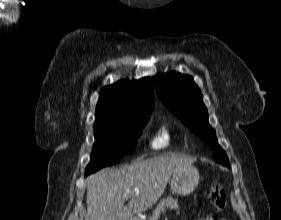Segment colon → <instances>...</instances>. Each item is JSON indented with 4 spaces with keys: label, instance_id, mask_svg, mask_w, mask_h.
Listing matches in <instances>:
<instances>
[{
    "label": "colon",
    "instance_id": "obj_1",
    "mask_svg": "<svg viewBox=\"0 0 281 220\" xmlns=\"http://www.w3.org/2000/svg\"><path fill=\"white\" fill-rule=\"evenodd\" d=\"M208 200L217 212H222L226 206V194L219 183H213L210 186ZM203 220H222L218 214H212Z\"/></svg>",
    "mask_w": 281,
    "mask_h": 220
}]
</instances>
